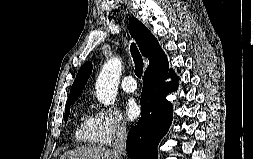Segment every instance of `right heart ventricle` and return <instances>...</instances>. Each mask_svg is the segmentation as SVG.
<instances>
[{
	"label": "right heart ventricle",
	"mask_w": 253,
	"mask_h": 159,
	"mask_svg": "<svg viewBox=\"0 0 253 159\" xmlns=\"http://www.w3.org/2000/svg\"><path fill=\"white\" fill-rule=\"evenodd\" d=\"M75 140L85 145L99 144V130L95 116L88 111H83L78 118L74 130Z\"/></svg>",
	"instance_id": "1"
}]
</instances>
